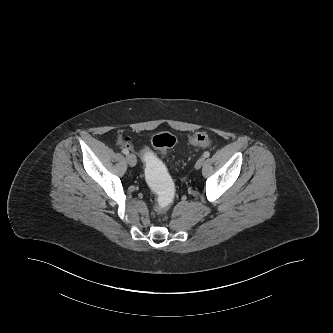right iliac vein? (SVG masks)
<instances>
[{"instance_id": "1", "label": "right iliac vein", "mask_w": 333, "mask_h": 333, "mask_svg": "<svg viewBox=\"0 0 333 333\" xmlns=\"http://www.w3.org/2000/svg\"><path fill=\"white\" fill-rule=\"evenodd\" d=\"M126 160L131 167H134L137 163V159L134 154H128Z\"/></svg>"}]
</instances>
